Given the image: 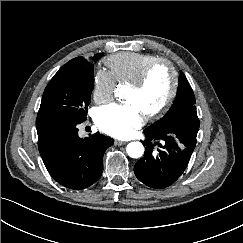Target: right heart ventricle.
I'll list each match as a JSON object with an SVG mask.
<instances>
[{"label": "right heart ventricle", "mask_w": 243, "mask_h": 243, "mask_svg": "<svg viewBox=\"0 0 243 243\" xmlns=\"http://www.w3.org/2000/svg\"><path fill=\"white\" fill-rule=\"evenodd\" d=\"M158 57L136 52H120L106 60V66L116 83L128 84L134 80L142 69Z\"/></svg>", "instance_id": "e07e8e85"}]
</instances>
